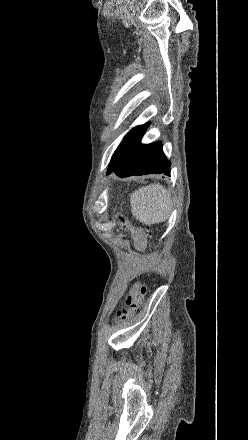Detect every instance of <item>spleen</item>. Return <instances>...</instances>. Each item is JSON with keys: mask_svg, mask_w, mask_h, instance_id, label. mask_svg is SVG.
Wrapping results in <instances>:
<instances>
[{"mask_svg": "<svg viewBox=\"0 0 248 440\" xmlns=\"http://www.w3.org/2000/svg\"><path fill=\"white\" fill-rule=\"evenodd\" d=\"M131 208L133 216L141 223L159 224L169 218L172 200L165 187L154 183L132 193Z\"/></svg>", "mask_w": 248, "mask_h": 440, "instance_id": "3e777b00", "label": "spleen"}]
</instances>
